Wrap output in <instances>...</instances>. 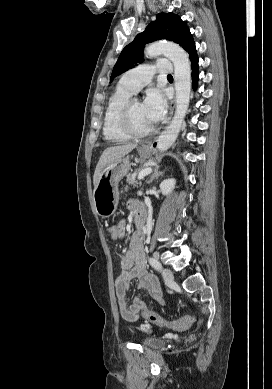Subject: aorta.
<instances>
[{"mask_svg": "<svg viewBox=\"0 0 272 389\" xmlns=\"http://www.w3.org/2000/svg\"><path fill=\"white\" fill-rule=\"evenodd\" d=\"M147 57L164 55L174 64L176 90L175 115L157 140V149L161 152L169 149L177 139L187 113L191 95V64L188 54L177 44L155 42L146 47Z\"/></svg>", "mask_w": 272, "mask_h": 389, "instance_id": "obj_1", "label": "aorta"}]
</instances>
